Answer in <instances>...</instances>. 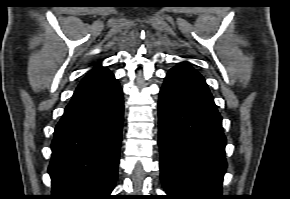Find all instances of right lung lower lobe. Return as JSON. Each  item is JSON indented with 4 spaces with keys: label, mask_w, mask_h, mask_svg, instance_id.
Instances as JSON below:
<instances>
[{
    "label": "right lung lower lobe",
    "mask_w": 290,
    "mask_h": 199,
    "mask_svg": "<svg viewBox=\"0 0 290 199\" xmlns=\"http://www.w3.org/2000/svg\"><path fill=\"white\" fill-rule=\"evenodd\" d=\"M122 122V89L116 79L73 95L51 144L50 199H111Z\"/></svg>",
    "instance_id": "right-lung-lower-lobe-1"
}]
</instances>
